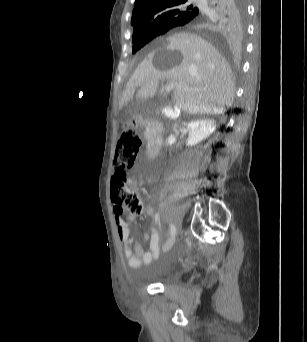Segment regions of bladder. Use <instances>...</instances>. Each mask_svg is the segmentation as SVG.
Wrapping results in <instances>:
<instances>
[{
  "mask_svg": "<svg viewBox=\"0 0 307 342\" xmlns=\"http://www.w3.org/2000/svg\"><path fill=\"white\" fill-rule=\"evenodd\" d=\"M178 279L177 273L167 263L159 262L155 270L153 271L150 280L153 283L167 285L176 282Z\"/></svg>",
  "mask_w": 307,
  "mask_h": 342,
  "instance_id": "obj_1",
  "label": "bladder"
}]
</instances>
